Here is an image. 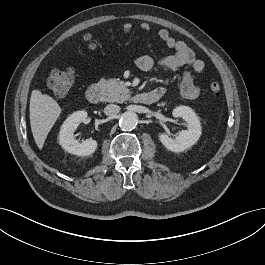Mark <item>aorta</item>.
<instances>
[{
	"mask_svg": "<svg viewBox=\"0 0 265 265\" xmlns=\"http://www.w3.org/2000/svg\"><path fill=\"white\" fill-rule=\"evenodd\" d=\"M138 123V116L136 113L131 111H126L122 114L120 119V127L123 130H132L136 127Z\"/></svg>",
	"mask_w": 265,
	"mask_h": 265,
	"instance_id": "aorta-1",
	"label": "aorta"
}]
</instances>
